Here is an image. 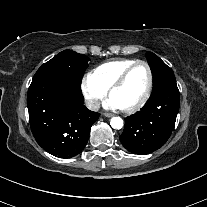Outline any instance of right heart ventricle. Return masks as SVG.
<instances>
[{
  "label": "right heart ventricle",
  "mask_w": 207,
  "mask_h": 207,
  "mask_svg": "<svg viewBox=\"0 0 207 207\" xmlns=\"http://www.w3.org/2000/svg\"><path fill=\"white\" fill-rule=\"evenodd\" d=\"M134 61L132 59H113L106 61L94 68L90 76L97 84L108 91L114 81Z\"/></svg>",
  "instance_id": "e07e8e85"
}]
</instances>
